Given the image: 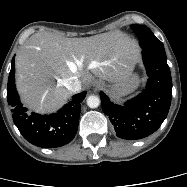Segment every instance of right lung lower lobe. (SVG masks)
I'll return each instance as SVG.
<instances>
[{"mask_svg":"<svg viewBox=\"0 0 187 187\" xmlns=\"http://www.w3.org/2000/svg\"><path fill=\"white\" fill-rule=\"evenodd\" d=\"M14 73L13 58L8 78L7 100L13 113V121L22 136L33 145L42 148L60 147L69 143L76 135L80 106L86 92L74 95L57 113L41 115L29 112L20 102Z\"/></svg>","mask_w":187,"mask_h":187,"instance_id":"1","label":"right lung lower lobe"}]
</instances>
